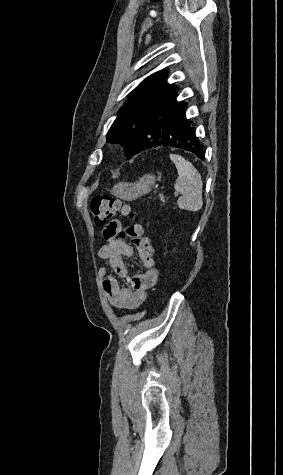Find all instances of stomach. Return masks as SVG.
I'll use <instances>...</instances> for the list:
<instances>
[{"instance_id":"0dacf381","label":"stomach","mask_w":283,"mask_h":475,"mask_svg":"<svg viewBox=\"0 0 283 475\" xmlns=\"http://www.w3.org/2000/svg\"><path fill=\"white\" fill-rule=\"evenodd\" d=\"M155 178L156 176H153V174H145L135 184H117V186L112 188L111 194L116 196V198H121V200L132 202V200H137L143 194L151 192L156 182Z\"/></svg>"}]
</instances>
